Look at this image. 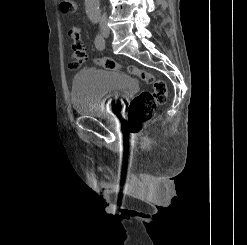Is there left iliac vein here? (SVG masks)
Returning <instances> with one entry per match:
<instances>
[{
  "label": "left iliac vein",
  "mask_w": 247,
  "mask_h": 245,
  "mask_svg": "<svg viewBox=\"0 0 247 245\" xmlns=\"http://www.w3.org/2000/svg\"><path fill=\"white\" fill-rule=\"evenodd\" d=\"M109 35V30H107V32L104 34L105 37H108Z\"/></svg>",
  "instance_id": "left-iliac-vein-1"
}]
</instances>
